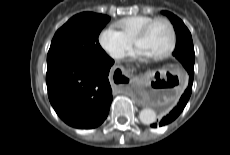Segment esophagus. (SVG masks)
I'll return each mask as SVG.
<instances>
[{
    "mask_svg": "<svg viewBox=\"0 0 230 155\" xmlns=\"http://www.w3.org/2000/svg\"><path fill=\"white\" fill-rule=\"evenodd\" d=\"M121 70H122V73L125 74L124 70L123 69H121Z\"/></svg>",
    "mask_w": 230,
    "mask_h": 155,
    "instance_id": "obj_1",
    "label": "esophagus"
}]
</instances>
